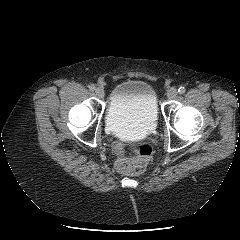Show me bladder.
Wrapping results in <instances>:
<instances>
[{
  "mask_svg": "<svg viewBox=\"0 0 240 240\" xmlns=\"http://www.w3.org/2000/svg\"><path fill=\"white\" fill-rule=\"evenodd\" d=\"M159 108L153 86L143 79H128L111 91L106 110V127L119 137L150 134L157 126Z\"/></svg>",
  "mask_w": 240,
  "mask_h": 240,
  "instance_id": "31cf9c89",
  "label": "bladder"
}]
</instances>
